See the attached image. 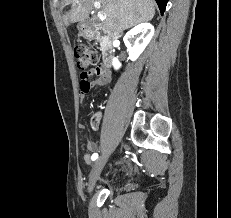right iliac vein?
Here are the masks:
<instances>
[{
  "mask_svg": "<svg viewBox=\"0 0 231 218\" xmlns=\"http://www.w3.org/2000/svg\"><path fill=\"white\" fill-rule=\"evenodd\" d=\"M108 155H102L93 164L92 170L89 176L88 191L91 192L94 189L96 181L98 180L100 173L107 162Z\"/></svg>",
  "mask_w": 231,
  "mask_h": 218,
  "instance_id": "63e3f726",
  "label": "right iliac vein"
}]
</instances>
